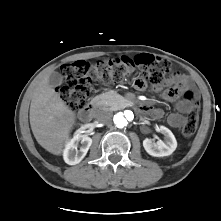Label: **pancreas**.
Returning <instances> with one entry per match:
<instances>
[{"label":"pancreas","mask_w":221,"mask_h":221,"mask_svg":"<svg viewBox=\"0 0 221 221\" xmlns=\"http://www.w3.org/2000/svg\"><path fill=\"white\" fill-rule=\"evenodd\" d=\"M98 98L102 107L111 110H117L124 105V98L115 91L102 93Z\"/></svg>","instance_id":"obj_1"}]
</instances>
